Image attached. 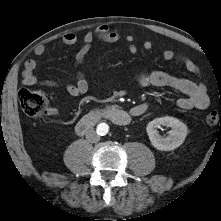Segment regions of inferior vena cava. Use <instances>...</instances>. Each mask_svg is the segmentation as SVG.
Returning a JSON list of instances; mask_svg holds the SVG:
<instances>
[{
	"label": "inferior vena cava",
	"instance_id": "1",
	"mask_svg": "<svg viewBox=\"0 0 221 221\" xmlns=\"http://www.w3.org/2000/svg\"><path fill=\"white\" fill-rule=\"evenodd\" d=\"M86 139L91 143H97L100 140V136L95 130H89L86 133Z\"/></svg>",
	"mask_w": 221,
	"mask_h": 221
}]
</instances>
